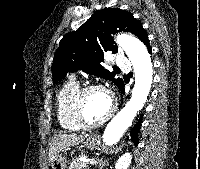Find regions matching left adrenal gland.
Wrapping results in <instances>:
<instances>
[{
    "label": "left adrenal gland",
    "mask_w": 200,
    "mask_h": 169,
    "mask_svg": "<svg viewBox=\"0 0 200 169\" xmlns=\"http://www.w3.org/2000/svg\"><path fill=\"white\" fill-rule=\"evenodd\" d=\"M108 162H109V159H107V160H102V159H100V160H98V166H99V169H102L106 164H108Z\"/></svg>",
    "instance_id": "obj_1"
}]
</instances>
